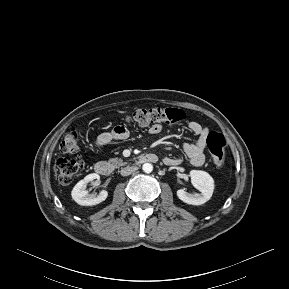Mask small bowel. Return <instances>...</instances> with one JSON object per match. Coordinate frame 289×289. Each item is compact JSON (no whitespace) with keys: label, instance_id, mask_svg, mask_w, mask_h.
I'll return each mask as SVG.
<instances>
[{"label":"small bowel","instance_id":"c3829d8e","mask_svg":"<svg viewBox=\"0 0 289 289\" xmlns=\"http://www.w3.org/2000/svg\"><path fill=\"white\" fill-rule=\"evenodd\" d=\"M163 127L161 124H152L148 128L149 134H159ZM189 131L197 136V140L194 143L185 142L182 145L185 155L189 158L190 162L194 166H202L205 163V150L207 148V136L209 129L202 126L196 121H191L188 124ZM130 136L129 130L124 126H116L110 132L101 133L96 140V147L103 149L106 145L113 141L126 140ZM178 158L166 157L164 163L169 166L179 164Z\"/></svg>","mask_w":289,"mask_h":289}]
</instances>
